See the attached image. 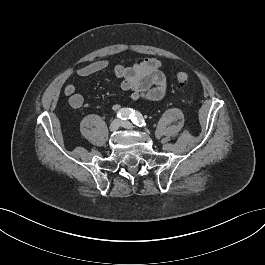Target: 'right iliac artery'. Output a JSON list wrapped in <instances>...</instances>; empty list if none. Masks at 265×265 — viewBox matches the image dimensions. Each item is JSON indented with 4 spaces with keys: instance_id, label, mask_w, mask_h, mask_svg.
I'll use <instances>...</instances> for the list:
<instances>
[{
    "instance_id": "82829eb1",
    "label": "right iliac artery",
    "mask_w": 265,
    "mask_h": 265,
    "mask_svg": "<svg viewBox=\"0 0 265 265\" xmlns=\"http://www.w3.org/2000/svg\"><path fill=\"white\" fill-rule=\"evenodd\" d=\"M134 111L131 108H122L118 111L117 117L122 120L130 119Z\"/></svg>"
}]
</instances>
